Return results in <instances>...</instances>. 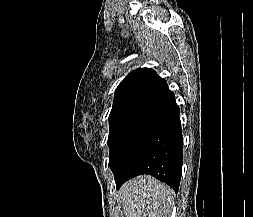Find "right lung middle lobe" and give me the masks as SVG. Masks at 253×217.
<instances>
[{"label":"right lung middle lobe","instance_id":"1","mask_svg":"<svg viewBox=\"0 0 253 217\" xmlns=\"http://www.w3.org/2000/svg\"><path fill=\"white\" fill-rule=\"evenodd\" d=\"M149 105L150 102L147 101H128L113 105L109 116L110 132L107 141L109 146V159L125 132Z\"/></svg>","mask_w":253,"mask_h":217}]
</instances>
